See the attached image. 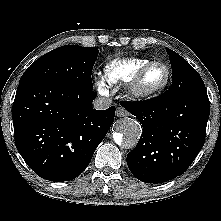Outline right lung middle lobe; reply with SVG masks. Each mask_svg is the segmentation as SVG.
Segmentation results:
<instances>
[{
    "label": "right lung middle lobe",
    "mask_w": 221,
    "mask_h": 221,
    "mask_svg": "<svg viewBox=\"0 0 221 221\" xmlns=\"http://www.w3.org/2000/svg\"><path fill=\"white\" fill-rule=\"evenodd\" d=\"M98 52L94 47H59L37 59L24 72L19 83L38 81L93 89L91 71Z\"/></svg>",
    "instance_id": "1"
}]
</instances>
